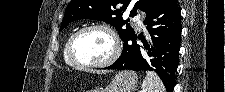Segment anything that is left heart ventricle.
Wrapping results in <instances>:
<instances>
[{"mask_svg":"<svg viewBox=\"0 0 225 92\" xmlns=\"http://www.w3.org/2000/svg\"><path fill=\"white\" fill-rule=\"evenodd\" d=\"M74 52L85 63H99L106 60L113 52L111 39L101 30H89L76 41Z\"/></svg>","mask_w":225,"mask_h":92,"instance_id":"1","label":"left heart ventricle"}]
</instances>
